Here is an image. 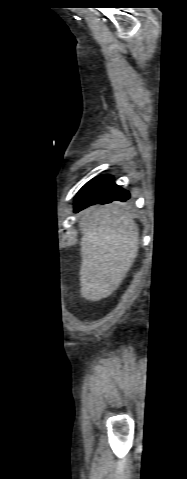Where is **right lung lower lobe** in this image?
Listing matches in <instances>:
<instances>
[{"label": "right lung lower lobe", "instance_id": "obj_1", "mask_svg": "<svg viewBox=\"0 0 187 479\" xmlns=\"http://www.w3.org/2000/svg\"><path fill=\"white\" fill-rule=\"evenodd\" d=\"M112 179V176H102L83 186L76 196L74 211L78 212L97 203L105 204L116 200L124 202L129 199V192L116 185Z\"/></svg>", "mask_w": 187, "mask_h": 479}]
</instances>
